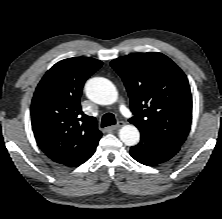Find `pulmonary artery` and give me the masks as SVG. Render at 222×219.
I'll return each mask as SVG.
<instances>
[{
    "instance_id": "obj_1",
    "label": "pulmonary artery",
    "mask_w": 222,
    "mask_h": 219,
    "mask_svg": "<svg viewBox=\"0 0 222 219\" xmlns=\"http://www.w3.org/2000/svg\"><path fill=\"white\" fill-rule=\"evenodd\" d=\"M125 114H126V115H129V111H128L127 109L125 110Z\"/></svg>"
}]
</instances>
